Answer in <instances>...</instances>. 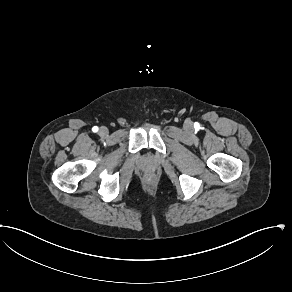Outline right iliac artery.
I'll return each mask as SVG.
<instances>
[{"instance_id": "right-iliac-artery-1", "label": "right iliac artery", "mask_w": 292, "mask_h": 292, "mask_svg": "<svg viewBox=\"0 0 292 292\" xmlns=\"http://www.w3.org/2000/svg\"><path fill=\"white\" fill-rule=\"evenodd\" d=\"M92 131H93V132H97V131H98V127H97V126H94V127L92 128Z\"/></svg>"}]
</instances>
